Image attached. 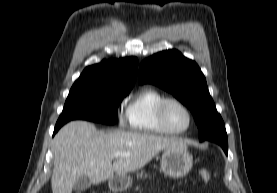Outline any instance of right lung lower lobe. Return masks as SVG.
Instances as JSON below:
<instances>
[{
    "label": "right lung lower lobe",
    "instance_id": "1",
    "mask_svg": "<svg viewBox=\"0 0 277 193\" xmlns=\"http://www.w3.org/2000/svg\"><path fill=\"white\" fill-rule=\"evenodd\" d=\"M65 123H56L53 135L64 125Z\"/></svg>",
    "mask_w": 277,
    "mask_h": 193
}]
</instances>
